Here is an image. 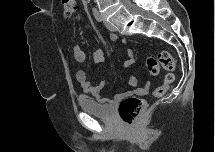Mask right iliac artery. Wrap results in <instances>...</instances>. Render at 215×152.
I'll return each instance as SVG.
<instances>
[{"label":"right iliac artery","instance_id":"right-iliac-artery-1","mask_svg":"<svg viewBox=\"0 0 215 152\" xmlns=\"http://www.w3.org/2000/svg\"><path fill=\"white\" fill-rule=\"evenodd\" d=\"M93 15L98 22L102 21L101 15L97 9H93Z\"/></svg>","mask_w":215,"mask_h":152}]
</instances>
